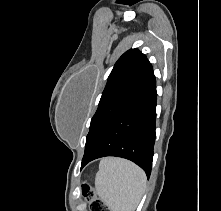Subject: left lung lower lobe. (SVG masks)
Segmentation results:
<instances>
[{
	"label": "left lung lower lobe",
	"mask_w": 221,
	"mask_h": 211,
	"mask_svg": "<svg viewBox=\"0 0 221 211\" xmlns=\"http://www.w3.org/2000/svg\"><path fill=\"white\" fill-rule=\"evenodd\" d=\"M156 97V80L152 71L139 93L84 154L81 167L96 158L117 156L139 165L149 178L155 142Z\"/></svg>",
	"instance_id": "1"
}]
</instances>
